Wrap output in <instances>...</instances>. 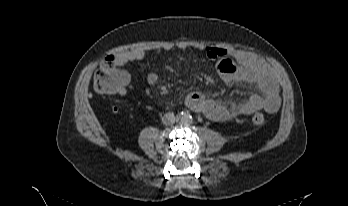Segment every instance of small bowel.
<instances>
[{
  "instance_id": "small-bowel-1",
  "label": "small bowel",
  "mask_w": 348,
  "mask_h": 206,
  "mask_svg": "<svg viewBox=\"0 0 348 206\" xmlns=\"http://www.w3.org/2000/svg\"><path fill=\"white\" fill-rule=\"evenodd\" d=\"M192 47L203 50L210 60L217 62V71L225 83H251L255 84L261 91V94H254L234 107H228L223 103L207 99L199 92H193L187 98V103L192 109L202 112L209 118L219 122H230L259 110H264L270 114H274L279 110L281 99L278 83L273 70L264 61L242 50H227L219 46L196 45L188 41L177 43V48L180 50H188ZM170 48L165 46L133 49L119 54L117 62L123 66L142 60L149 55L159 54ZM129 79L128 75L127 83ZM146 81L149 86H154L158 83L159 76L151 72L146 76ZM147 92H150V89H147ZM117 94L124 96L126 89L123 88Z\"/></svg>"
}]
</instances>
